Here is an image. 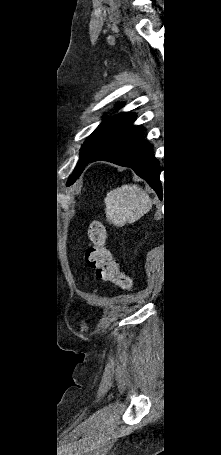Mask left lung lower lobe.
<instances>
[{
    "instance_id": "left-lung-lower-lobe-1",
    "label": "left lung lower lobe",
    "mask_w": 221,
    "mask_h": 455,
    "mask_svg": "<svg viewBox=\"0 0 221 455\" xmlns=\"http://www.w3.org/2000/svg\"><path fill=\"white\" fill-rule=\"evenodd\" d=\"M100 160L132 168L161 197L159 161L153 154V146L144 140L141 127L130 126L103 147L89 163Z\"/></svg>"
}]
</instances>
